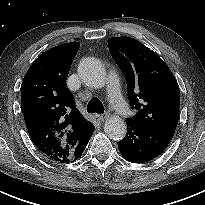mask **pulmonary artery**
<instances>
[{
  "label": "pulmonary artery",
  "instance_id": "e3ab8cb5",
  "mask_svg": "<svg viewBox=\"0 0 205 205\" xmlns=\"http://www.w3.org/2000/svg\"><path fill=\"white\" fill-rule=\"evenodd\" d=\"M107 80L109 86L108 100L113 108L117 110L120 118L126 121L131 115V110L121 96L118 75L115 71H110Z\"/></svg>",
  "mask_w": 205,
  "mask_h": 205
}]
</instances>
